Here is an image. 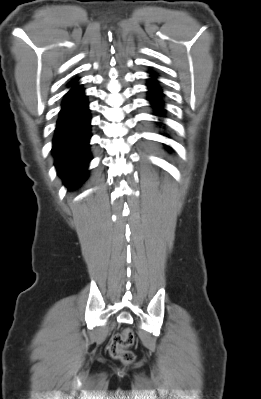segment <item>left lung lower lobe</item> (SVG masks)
I'll list each match as a JSON object with an SVG mask.
<instances>
[{
    "instance_id": "1",
    "label": "left lung lower lobe",
    "mask_w": 261,
    "mask_h": 399,
    "mask_svg": "<svg viewBox=\"0 0 261 399\" xmlns=\"http://www.w3.org/2000/svg\"><path fill=\"white\" fill-rule=\"evenodd\" d=\"M153 74L152 72H150ZM148 87L150 89L149 91V98L148 100L152 103L154 108L157 110L156 115L162 116L164 110H163V101H162V92L159 86L156 83L155 79H149Z\"/></svg>"
}]
</instances>
